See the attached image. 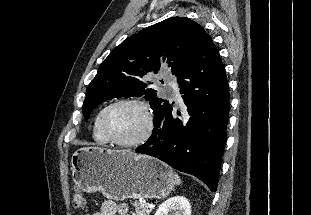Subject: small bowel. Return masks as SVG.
<instances>
[{
	"label": "small bowel",
	"instance_id": "obj_1",
	"mask_svg": "<svg viewBox=\"0 0 311 215\" xmlns=\"http://www.w3.org/2000/svg\"><path fill=\"white\" fill-rule=\"evenodd\" d=\"M86 215H129V209L126 204H117L112 200H106L102 203L99 211Z\"/></svg>",
	"mask_w": 311,
	"mask_h": 215
}]
</instances>
